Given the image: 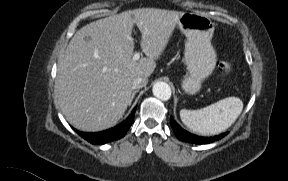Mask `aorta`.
I'll return each instance as SVG.
<instances>
[{
    "label": "aorta",
    "mask_w": 288,
    "mask_h": 181,
    "mask_svg": "<svg viewBox=\"0 0 288 181\" xmlns=\"http://www.w3.org/2000/svg\"><path fill=\"white\" fill-rule=\"evenodd\" d=\"M153 95L162 100L167 101L171 97V88L170 86L165 82H157L153 85L152 88Z\"/></svg>",
    "instance_id": "obj_1"
}]
</instances>
